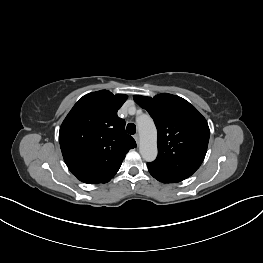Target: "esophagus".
<instances>
[{
    "label": "esophagus",
    "mask_w": 263,
    "mask_h": 263,
    "mask_svg": "<svg viewBox=\"0 0 263 263\" xmlns=\"http://www.w3.org/2000/svg\"><path fill=\"white\" fill-rule=\"evenodd\" d=\"M134 139H135L136 143L139 144V134H135Z\"/></svg>",
    "instance_id": "34e87169"
}]
</instances>
